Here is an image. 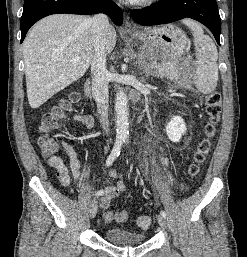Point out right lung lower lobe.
Segmentation results:
<instances>
[{
    "label": "right lung lower lobe",
    "instance_id": "98d812e1",
    "mask_svg": "<svg viewBox=\"0 0 247 257\" xmlns=\"http://www.w3.org/2000/svg\"><path fill=\"white\" fill-rule=\"evenodd\" d=\"M107 14L113 23L121 25L123 13L111 0H25L21 17V43L29 28L41 18L56 14Z\"/></svg>",
    "mask_w": 247,
    "mask_h": 257
}]
</instances>
